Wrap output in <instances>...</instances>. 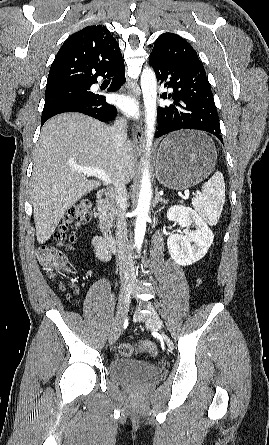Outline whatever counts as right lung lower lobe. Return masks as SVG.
I'll return each instance as SVG.
<instances>
[{
  "mask_svg": "<svg viewBox=\"0 0 269 445\" xmlns=\"http://www.w3.org/2000/svg\"><path fill=\"white\" fill-rule=\"evenodd\" d=\"M124 61L117 64L114 68L109 70L107 73L102 75L105 77H113L112 84L108 91H117L121 85L125 82V73H124ZM97 79L93 82L96 83ZM92 83V84H93ZM64 112H79L85 115L94 117L102 122H106L112 120L116 116V108L112 105L106 103V99L104 95L95 94L93 98L88 100L82 104H73L66 107H63L59 111H57L54 115L64 113ZM53 115V116H54ZM46 122V121H45ZM42 122V125L45 123Z\"/></svg>",
  "mask_w": 269,
  "mask_h": 445,
  "instance_id": "98d812e1",
  "label": "right lung lower lobe"
}]
</instances>
